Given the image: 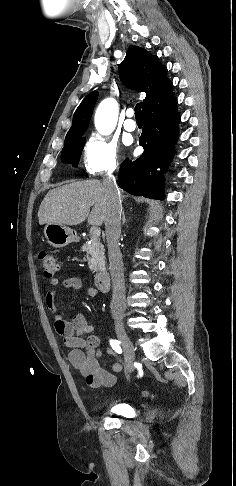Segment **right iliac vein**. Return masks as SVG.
<instances>
[{
    "mask_svg": "<svg viewBox=\"0 0 236 486\" xmlns=\"http://www.w3.org/2000/svg\"><path fill=\"white\" fill-rule=\"evenodd\" d=\"M115 330L118 339L121 341L123 349L125 351L126 362L128 371H133V362L135 360V349L134 346L125 330L123 323L119 320L115 322Z\"/></svg>",
    "mask_w": 236,
    "mask_h": 486,
    "instance_id": "obj_1",
    "label": "right iliac vein"
}]
</instances>
